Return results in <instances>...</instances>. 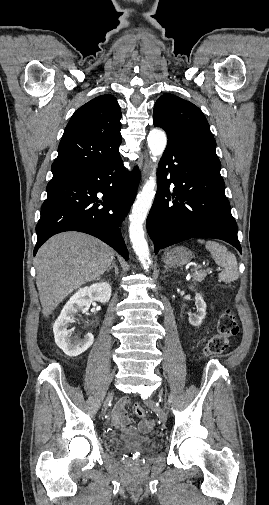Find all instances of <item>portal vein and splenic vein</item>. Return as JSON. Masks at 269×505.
Wrapping results in <instances>:
<instances>
[{"mask_svg": "<svg viewBox=\"0 0 269 505\" xmlns=\"http://www.w3.org/2000/svg\"><path fill=\"white\" fill-rule=\"evenodd\" d=\"M200 266H195V268L191 269V271H196Z\"/></svg>", "mask_w": 269, "mask_h": 505, "instance_id": "18ae733b", "label": "portal vein and splenic vein"}]
</instances>
